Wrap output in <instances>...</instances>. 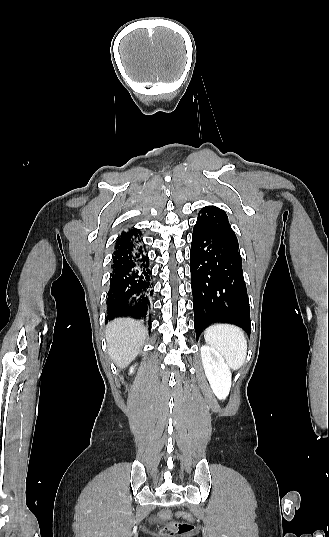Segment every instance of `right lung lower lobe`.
Listing matches in <instances>:
<instances>
[{"label": "right lung lower lobe", "instance_id": "obj_1", "mask_svg": "<svg viewBox=\"0 0 329 537\" xmlns=\"http://www.w3.org/2000/svg\"><path fill=\"white\" fill-rule=\"evenodd\" d=\"M141 232L117 239L112 262L110 289L107 298V317H134L150 325L153 294L149 258L141 244Z\"/></svg>", "mask_w": 329, "mask_h": 537}]
</instances>
